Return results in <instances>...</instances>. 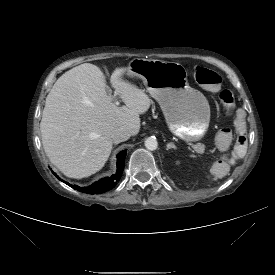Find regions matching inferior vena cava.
<instances>
[{
	"mask_svg": "<svg viewBox=\"0 0 275 275\" xmlns=\"http://www.w3.org/2000/svg\"><path fill=\"white\" fill-rule=\"evenodd\" d=\"M131 136L130 132L126 128H118L114 130L111 134L113 143L118 144L120 142L126 141Z\"/></svg>",
	"mask_w": 275,
	"mask_h": 275,
	"instance_id": "obj_1",
	"label": "inferior vena cava"
}]
</instances>
